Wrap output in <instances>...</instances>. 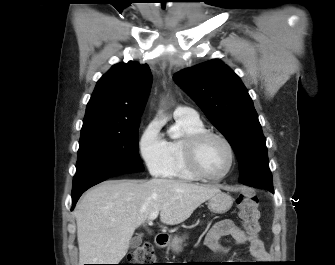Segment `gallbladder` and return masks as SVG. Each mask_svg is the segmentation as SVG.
I'll return each instance as SVG.
<instances>
[{
	"label": "gallbladder",
	"mask_w": 335,
	"mask_h": 265,
	"mask_svg": "<svg viewBox=\"0 0 335 265\" xmlns=\"http://www.w3.org/2000/svg\"><path fill=\"white\" fill-rule=\"evenodd\" d=\"M142 244V235L138 234L135 237H133L130 241V248L136 249Z\"/></svg>",
	"instance_id": "gallbladder-1"
}]
</instances>
